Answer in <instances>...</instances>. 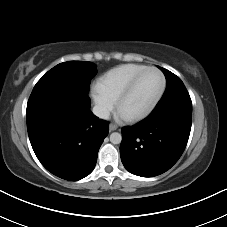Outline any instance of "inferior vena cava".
Returning <instances> with one entry per match:
<instances>
[{"label": "inferior vena cava", "mask_w": 227, "mask_h": 227, "mask_svg": "<svg viewBox=\"0 0 227 227\" xmlns=\"http://www.w3.org/2000/svg\"><path fill=\"white\" fill-rule=\"evenodd\" d=\"M92 112L99 118L105 119V120L109 119V116H110L109 110L100 105L94 106Z\"/></svg>", "instance_id": "602c4592"}]
</instances>
